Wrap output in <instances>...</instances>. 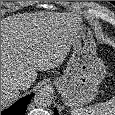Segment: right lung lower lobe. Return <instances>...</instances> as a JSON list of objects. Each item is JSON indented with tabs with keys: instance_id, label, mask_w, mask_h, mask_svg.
<instances>
[{
	"instance_id": "right-lung-lower-lobe-1",
	"label": "right lung lower lobe",
	"mask_w": 115,
	"mask_h": 115,
	"mask_svg": "<svg viewBox=\"0 0 115 115\" xmlns=\"http://www.w3.org/2000/svg\"><path fill=\"white\" fill-rule=\"evenodd\" d=\"M34 94H30L26 97L21 98L10 108L1 113V115H24L26 106Z\"/></svg>"
}]
</instances>
